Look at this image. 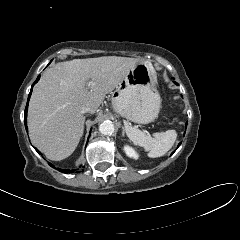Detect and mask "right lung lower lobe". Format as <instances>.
Returning <instances> with one entry per match:
<instances>
[{"mask_svg":"<svg viewBox=\"0 0 240 240\" xmlns=\"http://www.w3.org/2000/svg\"><path fill=\"white\" fill-rule=\"evenodd\" d=\"M40 78V75L38 76V78L36 79V81L33 83V85L39 80ZM33 85L31 87V91H30V94H29V97H28V102H29V99H30V96H31V92H32V89H33ZM28 102H27V105H26V108H25V116H24V122H25V127H26V130H27V109H28ZM37 150V149H36ZM38 153H40L38 150H37ZM51 167H53V165L51 163H48ZM60 171L64 172V173H72L74 172L75 170H69V169H60ZM77 173L79 171H76Z\"/></svg>","mask_w":240,"mask_h":240,"instance_id":"right-lung-lower-lobe-1","label":"right lung lower lobe"}]
</instances>
